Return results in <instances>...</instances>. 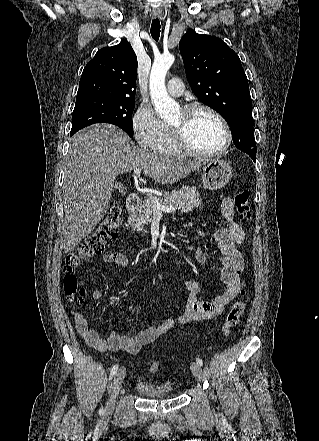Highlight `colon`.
Wrapping results in <instances>:
<instances>
[{"mask_svg": "<svg viewBox=\"0 0 319 441\" xmlns=\"http://www.w3.org/2000/svg\"><path fill=\"white\" fill-rule=\"evenodd\" d=\"M250 193L248 190H240L234 198V205L238 210L241 220L250 218L249 208ZM121 224V209L119 205L110 208L106 216L100 221L98 226L74 249L65 260L63 288L65 295L71 301L82 303L85 289L77 276L78 267L90 257L101 254L105 247L116 237L118 227ZM241 296H246V290L241 291ZM246 309L245 299L237 301L230 308L225 322L222 326V333L228 336L235 328ZM161 368L159 360H150L148 369L155 373Z\"/></svg>", "mask_w": 319, "mask_h": 441, "instance_id": "5ec220e1", "label": "colon"}]
</instances>
